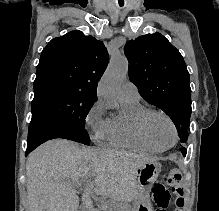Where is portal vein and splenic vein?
Wrapping results in <instances>:
<instances>
[{"label": "portal vein and splenic vein", "mask_w": 219, "mask_h": 211, "mask_svg": "<svg viewBox=\"0 0 219 211\" xmlns=\"http://www.w3.org/2000/svg\"><path fill=\"white\" fill-rule=\"evenodd\" d=\"M75 183H76V185H77V183H79L78 179H76Z\"/></svg>", "instance_id": "obj_1"}]
</instances>
